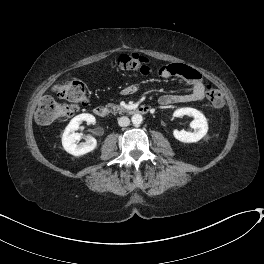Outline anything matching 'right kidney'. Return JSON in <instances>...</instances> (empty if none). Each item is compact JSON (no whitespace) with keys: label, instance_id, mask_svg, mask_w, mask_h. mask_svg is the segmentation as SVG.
<instances>
[{"label":"right kidney","instance_id":"obj_1","mask_svg":"<svg viewBox=\"0 0 264 264\" xmlns=\"http://www.w3.org/2000/svg\"><path fill=\"white\" fill-rule=\"evenodd\" d=\"M83 121H86L87 123H95V117L88 113L75 116L65 128L62 136V146L64 150L74 156H81L89 153L97 146L96 139L91 136H88L84 143L77 144L81 139V135L75 131L78 130Z\"/></svg>","mask_w":264,"mask_h":264}]
</instances>
